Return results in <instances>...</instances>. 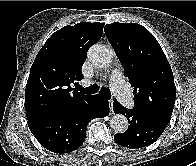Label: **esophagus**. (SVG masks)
<instances>
[{"instance_id":"1","label":"esophagus","mask_w":196,"mask_h":166,"mask_svg":"<svg viewBox=\"0 0 196 166\" xmlns=\"http://www.w3.org/2000/svg\"><path fill=\"white\" fill-rule=\"evenodd\" d=\"M109 105H110V113L113 114V100H109Z\"/></svg>"}]
</instances>
